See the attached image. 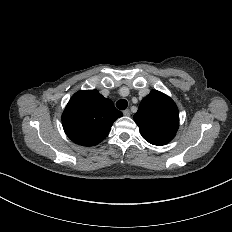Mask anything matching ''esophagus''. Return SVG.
<instances>
[{"instance_id":"34e87169","label":"esophagus","mask_w":232,"mask_h":232,"mask_svg":"<svg viewBox=\"0 0 232 232\" xmlns=\"http://www.w3.org/2000/svg\"><path fill=\"white\" fill-rule=\"evenodd\" d=\"M123 115L127 117L130 116V110L129 109L124 110Z\"/></svg>"}]
</instances>
